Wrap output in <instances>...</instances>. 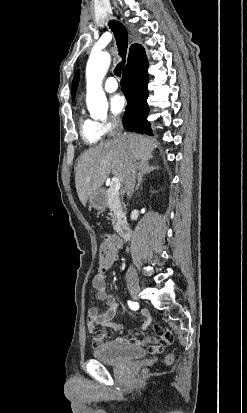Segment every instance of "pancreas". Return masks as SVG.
I'll list each match as a JSON object with an SVG mask.
<instances>
[{
  "instance_id": "obj_1",
  "label": "pancreas",
  "mask_w": 247,
  "mask_h": 413,
  "mask_svg": "<svg viewBox=\"0 0 247 413\" xmlns=\"http://www.w3.org/2000/svg\"><path fill=\"white\" fill-rule=\"evenodd\" d=\"M121 192H115L112 188H107L106 194L108 196V209L113 211V217L111 219L114 231H119L120 225H122V217H125L124 211H122L120 196Z\"/></svg>"
}]
</instances>
